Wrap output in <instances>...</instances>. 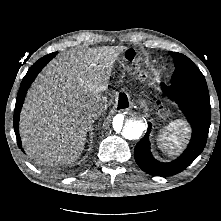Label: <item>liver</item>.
<instances>
[{"label": "liver", "instance_id": "obj_1", "mask_svg": "<svg viewBox=\"0 0 221 221\" xmlns=\"http://www.w3.org/2000/svg\"><path fill=\"white\" fill-rule=\"evenodd\" d=\"M123 50L89 48L64 53L47 65L29 90L20 116L19 131L29 156L51 163L78 159L94 118L107 108L102 92Z\"/></svg>", "mask_w": 221, "mask_h": 221}]
</instances>
